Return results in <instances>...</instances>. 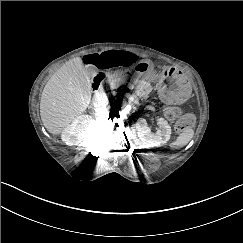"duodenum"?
I'll return each mask as SVG.
<instances>
[{
  "mask_svg": "<svg viewBox=\"0 0 243 243\" xmlns=\"http://www.w3.org/2000/svg\"><path fill=\"white\" fill-rule=\"evenodd\" d=\"M117 75L121 74L120 72L116 73ZM106 77V73L105 72H99L97 73L91 81V87L93 90H97L101 84V82L103 81V79Z\"/></svg>",
  "mask_w": 243,
  "mask_h": 243,
  "instance_id": "1",
  "label": "duodenum"
}]
</instances>
